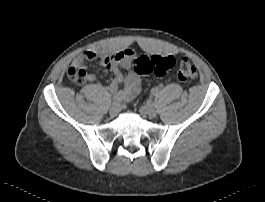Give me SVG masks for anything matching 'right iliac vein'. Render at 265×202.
<instances>
[{"mask_svg": "<svg viewBox=\"0 0 265 202\" xmlns=\"http://www.w3.org/2000/svg\"><path fill=\"white\" fill-rule=\"evenodd\" d=\"M118 112H119V105L118 104H113L110 106L109 114L111 117L117 116Z\"/></svg>", "mask_w": 265, "mask_h": 202, "instance_id": "obj_1", "label": "right iliac vein"}]
</instances>
